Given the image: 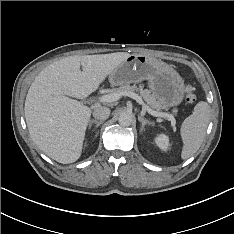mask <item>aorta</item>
<instances>
[{"instance_id": "762f6f07", "label": "aorta", "mask_w": 234, "mask_h": 234, "mask_svg": "<svg viewBox=\"0 0 234 234\" xmlns=\"http://www.w3.org/2000/svg\"><path fill=\"white\" fill-rule=\"evenodd\" d=\"M118 122L122 126H129L133 122V117L130 113L128 112H122L119 115Z\"/></svg>"}]
</instances>
